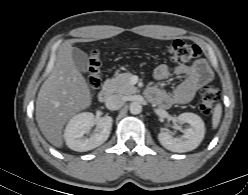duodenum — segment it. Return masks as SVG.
Wrapping results in <instances>:
<instances>
[{"instance_id": "obj_1", "label": "duodenum", "mask_w": 248, "mask_h": 195, "mask_svg": "<svg viewBox=\"0 0 248 195\" xmlns=\"http://www.w3.org/2000/svg\"><path fill=\"white\" fill-rule=\"evenodd\" d=\"M112 97V88L110 84L104 85L98 92V100L107 103Z\"/></svg>"}]
</instances>
